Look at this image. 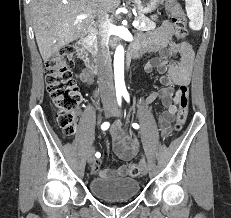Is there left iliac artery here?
<instances>
[{"mask_svg":"<svg viewBox=\"0 0 231 218\" xmlns=\"http://www.w3.org/2000/svg\"><path fill=\"white\" fill-rule=\"evenodd\" d=\"M122 95H123V97L125 98V100H126L127 102H129V94H128V92H127L126 90H124V91L122 92ZM132 126H133V128H135V129H138V128H139V125H138L137 123H133Z\"/></svg>","mask_w":231,"mask_h":218,"instance_id":"left-iliac-artery-1","label":"left iliac artery"}]
</instances>
